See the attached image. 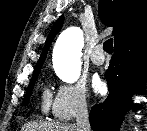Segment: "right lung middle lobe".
I'll use <instances>...</instances> for the list:
<instances>
[{"label": "right lung middle lobe", "instance_id": "dd1d6c3e", "mask_svg": "<svg viewBox=\"0 0 147 131\" xmlns=\"http://www.w3.org/2000/svg\"><path fill=\"white\" fill-rule=\"evenodd\" d=\"M38 74H39V71L36 72V73H33L31 82H30V84L28 86V90H27V93H26L25 98H24V101H23L24 105L27 104V102H28V100L30 98V95H31L32 90H33V87H34V82L36 81V79L38 77Z\"/></svg>", "mask_w": 147, "mask_h": 131}]
</instances>
